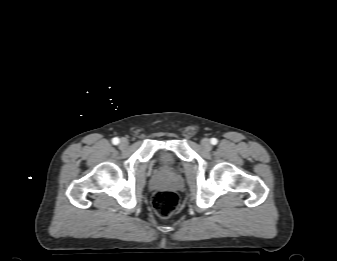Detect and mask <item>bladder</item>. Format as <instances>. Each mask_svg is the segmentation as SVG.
Returning a JSON list of instances; mask_svg holds the SVG:
<instances>
[{"label":"bladder","instance_id":"bladder-1","mask_svg":"<svg viewBox=\"0 0 337 261\" xmlns=\"http://www.w3.org/2000/svg\"><path fill=\"white\" fill-rule=\"evenodd\" d=\"M160 159L163 161V162H167L171 159V156L169 153L167 152H161L160 153Z\"/></svg>","mask_w":337,"mask_h":261}]
</instances>
